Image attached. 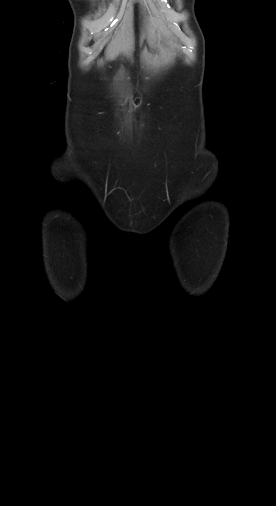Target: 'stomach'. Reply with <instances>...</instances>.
<instances>
[{"label": "stomach", "instance_id": "0dacf381", "mask_svg": "<svg viewBox=\"0 0 276 506\" xmlns=\"http://www.w3.org/2000/svg\"><path fill=\"white\" fill-rule=\"evenodd\" d=\"M175 40H176V42H178V41H179L177 38H176Z\"/></svg>", "mask_w": 276, "mask_h": 506}]
</instances>
